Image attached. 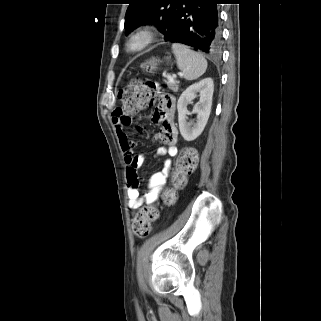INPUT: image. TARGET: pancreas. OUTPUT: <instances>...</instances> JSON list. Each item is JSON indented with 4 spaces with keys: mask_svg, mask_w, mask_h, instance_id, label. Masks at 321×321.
<instances>
[{
    "mask_svg": "<svg viewBox=\"0 0 321 321\" xmlns=\"http://www.w3.org/2000/svg\"><path fill=\"white\" fill-rule=\"evenodd\" d=\"M168 88L173 92H178L179 86L178 83L175 81H168L167 82Z\"/></svg>",
    "mask_w": 321,
    "mask_h": 321,
    "instance_id": "1",
    "label": "pancreas"
}]
</instances>
